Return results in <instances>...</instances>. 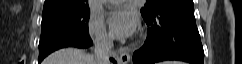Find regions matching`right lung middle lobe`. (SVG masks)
I'll return each instance as SVG.
<instances>
[{
    "label": "right lung middle lobe",
    "instance_id": "1",
    "mask_svg": "<svg viewBox=\"0 0 242 64\" xmlns=\"http://www.w3.org/2000/svg\"><path fill=\"white\" fill-rule=\"evenodd\" d=\"M89 9L42 14L39 59L64 47H83L92 42L88 33Z\"/></svg>",
    "mask_w": 242,
    "mask_h": 64
}]
</instances>
